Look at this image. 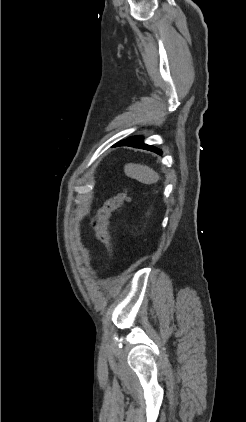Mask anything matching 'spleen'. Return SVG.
Wrapping results in <instances>:
<instances>
[{"mask_svg":"<svg viewBox=\"0 0 246 422\" xmlns=\"http://www.w3.org/2000/svg\"><path fill=\"white\" fill-rule=\"evenodd\" d=\"M124 172L126 176L147 185L156 183L160 179L158 173H156L153 169L141 164H126L124 166Z\"/></svg>","mask_w":246,"mask_h":422,"instance_id":"1","label":"spleen"}]
</instances>
